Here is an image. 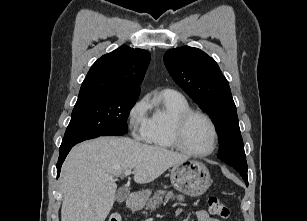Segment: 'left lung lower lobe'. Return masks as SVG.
Masks as SVG:
<instances>
[{
    "label": "left lung lower lobe",
    "instance_id": "1",
    "mask_svg": "<svg viewBox=\"0 0 307 221\" xmlns=\"http://www.w3.org/2000/svg\"><path fill=\"white\" fill-rule=\"evenodd\" d=\"M238 171V170H237ZM240 173V175L243 177L246 185L248 186V179H247V173H244V172H241V171H238Z\"/></svg>",
    "mask_w": 307,
    "mask_h": 221
}]
</instances>
